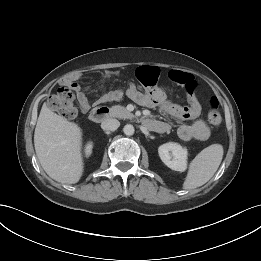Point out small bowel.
<instances>
[{
    "label": "small bowel",
    "instance_id": "obj_1",
    "mask_svg": "<svg viewBox=\"0 0 261 261\" xmlns=\"http://www.w3.org/2000/svg\"><path fill=\"white\" fill-rule=\"evenodd\" d=\"M113 74L116 73L112 71L105 72V80ZM168 76L173 82L185 88L188 100L187 106H181L169 101L160 89L143 92L135 84L129 85L125 90L113 89L106 91L99 97L98 102H116L127 96L141 105L158 107L163 115L178 124L177 132L182 140H206L210 136V129L207 123L200 118L202 108L196 96L197 83L193 75L179 70H171ZM137 77L143 84L152 86L159 77V69L153 66L140 67L137 70ZM64 84L75 91L81 110L84 112L88 111L90 109V102L86 96V89H83L77 83V77L65 80ZM157 122L162 126L161 130L157 132H166L169 129L167 123Z\"/></svg>",
    "mask_w": 261,
    "mask_h": 261
}]
</instances>
